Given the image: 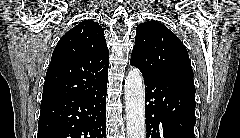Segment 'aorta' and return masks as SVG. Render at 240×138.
I'll return each instance as SVG.
<instances>
[{
  "label": "aorta",
  "mask_w": 240,
  "mask_h": 138,
  "mask_svg": "<svg viewBox=\"0 0 240 138\" xmlns=\"http://www.w3.org/2000/svg\"><path fill=\"white\" fill-rule=\"evenodd\" d=\"M125 110L127 138H145V105L143 78L131 68L125 79Z\"/></svg>",
  "instance_id": "1"
}]
</instances>
